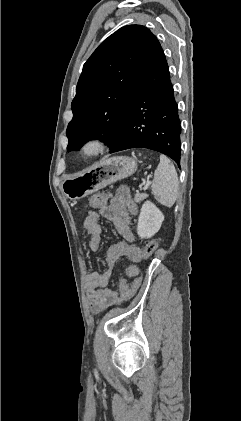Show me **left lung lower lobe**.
I'll return each instance as SVG.
<instances>
[{
    "instance_id": "0a47b994",
    "label": "left lung lower lobe",
    "mask_w": 241,
    "mask_h": 421,
    "mask_svg": "<svg viewBox=\"0 0 241 421\" xmlns=\"http://www.w3.org/2000/svg\"><path fill=\"white\" fill-rule=\"evenodd\" d=\"M180 134L170 73L157 41L138 82L122 132L110 153L147 148L168 155L180 168Z\"/></svg>"
}]
</instances>
